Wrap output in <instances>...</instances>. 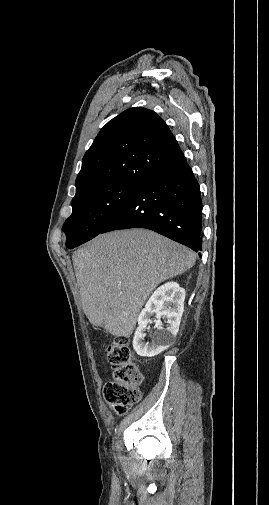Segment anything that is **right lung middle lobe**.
<instances>
[{"mask_svg":"<svg viewBox=\"0 0 269 505\" xmlns=\"http://www.w3.org/2000/svg\"><path fill=\"white\" fill-rule=\"evenodd\" d=\"M140 186L125 182L104 183L76 194L72 200V214L63 227L66 247L72 249L100 234Z\"/></svg>","mask_w":269,"mask_h":505,"instance_id":"right-lung-middle-lobe-1","label":"right lung middle lobe"}]
</instances>
